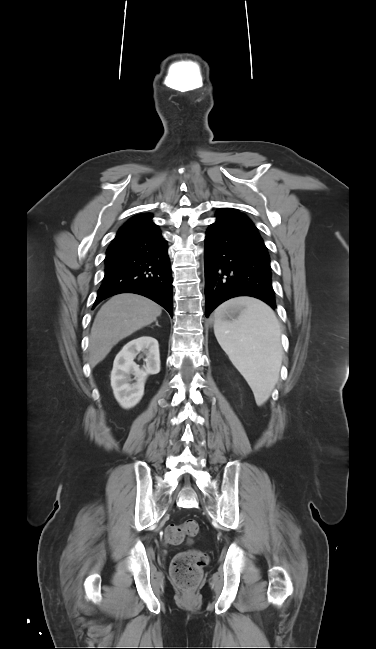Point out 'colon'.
Wrapping results in <instances>:
<instances>
[{"label": "colon", "mask_w": 376, "mask_h": 649, "mask_svg": "<svg viewBox=\"0 0 376 649\" xmlns=\"http://www.w3.org/2000/svg\"><path fill=\"white\" fill-rule=\"evenodd\" d=\"M198 532V522L189 519L181 524L168 526L165 530L164 541L169 545H178L186 537L196 536ZM207 561V555L201 551L188 550L181 552L174 557L171 563V577L177 586L185 591H191L199 583L202 569Z\"/></svg>", "instance_id": "obj_1"}]
</instances>
